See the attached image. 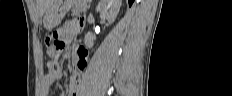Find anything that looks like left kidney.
<instances>
[{"label":"left kidney","mask_w":232,"mask_h":96,"mask_svg":"<svg viewBox=\"0 0 232 96\" xmlns=\"http://www.w3.org/2000/svg\"><path fill=\"white\" fill-rule=\"evenodd\" d=\"M122 0H100L96 11L100 12V17L104 20H107L109 24H112L121 7ZM84 43L87 48H91L94 45V36L88 32L85 35Z\"/></svg>","instance_id":"5707ae66"}]
</instances>
